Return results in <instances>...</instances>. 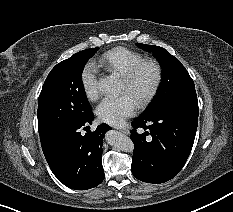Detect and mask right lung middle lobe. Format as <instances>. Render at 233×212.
Instances as JSON below:
<instances>
[{"label":"right lung middle lobe","mask_w":233,"mask_h":212,"mask_svg":"<svg viewBox=\"0 0 233 212\" xmlns=\"http://www.w3.org/2000/svg\"><path fill=\"white\" fill-rule=\"evenodd\" d=\"M99 48L80 51L57 64L47 76L38 100L40 139L92 113L81 81L82 71Z\"/></svg>","instance_id":"right-lung-middle-lobe-1"}]
</instances>
